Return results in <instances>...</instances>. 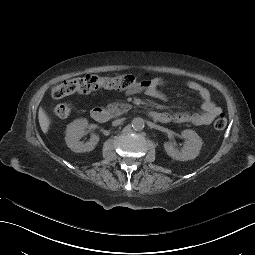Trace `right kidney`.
I'll return each instance as SVG.
<instances>
[{
	"label": "right kidney",
	"mask_w": 255,
	"mask_h": 255,
	"mask_svg": "<svg viewBox=\"0 0 255 255\" xmlns=\"http://www.w3.org/2000/svg\"><path fill=\"white\" fill-rule=\"evenodd\" d=\"M87 125V121L85 120H78L68 125L66 144L72 151L76 153L93 151L100 140L99 135L93 133L89 143H80V139L85 136L86 132L88 131Z\"/></svg>",
	"instance_id": "obj_1"
}]
</instances>
